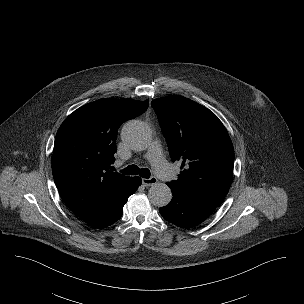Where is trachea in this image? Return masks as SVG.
<instances>
[{
  "instance_id": "1",
  "label": "trachea",
  "mask_w": 304,
  "mask_h": 304,
  "mask_svg": "<svg viewBox=\"0 0 304 304\" xmlns=\"http://www.w3.org/2000/svg\"><path fill=\"white\" fill-rule=\"evenodd\" d=\"M122 173L127 175H140L143 178H150V170L147 168L139 169L136 165H129L124 170H122Z\"/></svg>"
}]
</instances>
